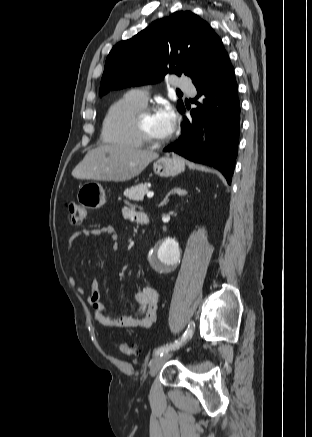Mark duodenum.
Instances as JSON below:
<instances>
[{
	"label": "duodenum",
	"instance_id": "duodenum-1",
	"mask_svg": "<svg viewBox=\"0 0 312 437\" xmlns=\"http://www.w3.org/2000/svg\"><path fill=\"white\" fill-rule=\"evenodd\" d=\"M141 223L143 225H146V226L150 225V219H149L148 215L144 214V216H143V218L141 220Z\"/></svg>",
	"mask_w": 312,
	"mask_h": 437
}]
</instances>
